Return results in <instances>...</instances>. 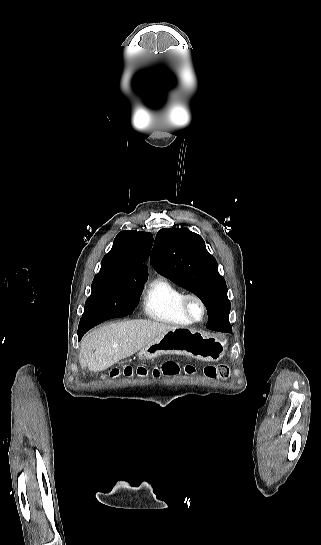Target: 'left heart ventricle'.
I'll return each mask as SVG.
<instances>
[{
  "instance_id": "obj_1",
  "label": "left heart ventricle",
  "mask_w": 321,
  "mask_h": 545,
  "mask_svg": "<svg viewBox=\"0 0 321 545\" xmlns=\"http://www.w3.org/2000/svg\"><path fill=\"white\" fill-rule=\"evenodd\" d=\"M192 312L195 316H199L201 313V308L198 303L193 302L191 305Z\"/></svg>"
}]
</instances>
